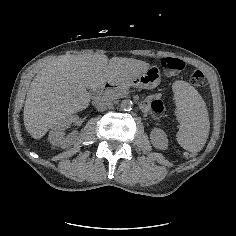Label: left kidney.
Returning <instances> with one entry per match:
<instances>
[{"label":"left kidney","mask_w":236,"mask_h":236,"mask_svg":"<svg viewBox=\"0 0 236 236\" xmlns=\"http://www.w3.org/2000/svg\"><path fill=\"white\" fill-rule=\"evenodd\" d=\"M149 140L152 146L157 150H166L168 147V137L160 128H153L149 134Z\"/></svg>","instance_id":"1"}]
</instances>
